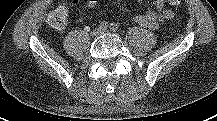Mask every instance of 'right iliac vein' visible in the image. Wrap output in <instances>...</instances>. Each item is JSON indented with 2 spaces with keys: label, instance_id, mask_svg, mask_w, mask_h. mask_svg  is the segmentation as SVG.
Instances as JSON below:
<instances>
[{
  "label": "right iliac vein",
  "instance_id": "right-iliac-vein-1",
  "mask_svg": "<svg viewBox=\"0 0 217 121\" xmlns=\"http://www.w3.org/2000/svg\"><path fill=\"white\" fill-rule=\"evenodd\" d=\"M99 33H100L99 30H95V31L92 32V35H93V36H97Z\"/></svg>",
  "mask_w": 217,
  "mask_h": 121
}]
</instances>
